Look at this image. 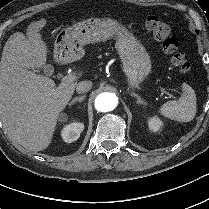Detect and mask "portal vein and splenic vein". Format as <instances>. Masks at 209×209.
Masks as SVG:
<instances>
[{
    "mask_svg": "<svg viewBox=\"0 0 209 209\" xmlns=\"http://www.w3.org/2000/svg\"><path fill=\"white\" fill-rule=\"evenodd\" d=\"M74 79H75V77L73 75H66V76L62 77L61 85L66 86V85L72 83L74 81ZM161 91L164 92L163 89Z\"/></svg>",
    "mask_w": 209,
    "mask_h": 209,
    "instance_id": "18ae733b",
    "label": "portal vein and splenic vein"
}]
</instances>
